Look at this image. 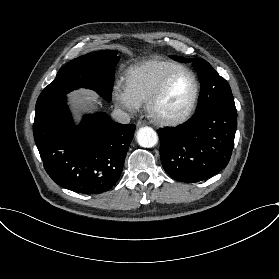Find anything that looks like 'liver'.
<instances>
[{"instance_id":"liver-1","label":"liver","mask_w":279,"mask_h":279,"mask_svg":"<svg viewBox=\"0 0 279 279\" xmlns=\"http://www.w3.org/2000/svg\"><path fill=\"white\" fill-rule=\"evenodd\" d=\"M73 109L75 120L80 121V110L94 109V103L98 102V95L89 89H79L68 94Z\"/></svg>"}]
</instances>
